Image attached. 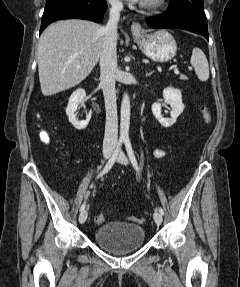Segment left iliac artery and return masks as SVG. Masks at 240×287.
Returning a JSON list of instances; mask_svg holds the SVG:
<instances>
[{
  "mask_svg": "<svg viewBox=\"0 0 240 287\" xmlns=\"http://www.w3.org/2000/svg\"><path fill=\"white\" fill-rule=\"evenodd\" d=\"M125 147H126V150H127V154L129 156V159L133 165V167L135 168V170L139 173V167H138V164H137V160H136V157L134 155V152L132 150V146H131V142L130 140H125ZM159 212L163 215L164 214V210L159 207L158 208Z\"/></svg>",
  "mask_w": 240,
  "mask_h": 287,
  "instance_id": "left-iliac-artery-1",
  "label": "left iliac artery"
}]
</instances>
